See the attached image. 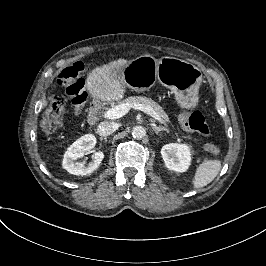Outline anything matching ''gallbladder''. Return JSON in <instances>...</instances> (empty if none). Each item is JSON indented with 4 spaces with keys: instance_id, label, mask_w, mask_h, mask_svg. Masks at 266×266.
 Instances as JSON below:
<instances>
[{
    "instance_id": "gallbladder-1",
    "label": "gallbladder",
    "mask_w": 266,
    "mask_h": 266,
    "mask_svg": "<svg viewBox=\"0 0 266 266\" xmlns=\"http://www.w3.org/2000/svg\"><path fill=\"white\" fill-rule=\"evenodd\" d=\"M122 76V72L117 73V77H121Z\"/></svg>"
}]
</instances>
